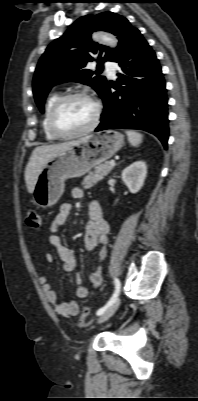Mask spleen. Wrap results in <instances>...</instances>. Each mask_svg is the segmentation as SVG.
<instances>
[{
    "instance_id": "1",
    "label": "spleen",
    "mask_w": 198,
    "mask_h": 401,
    "mask_svg": "<svg viewBox=\"0 0 198 401\" xmlns=\"http://www.w3.org/2000/svg\"><path fill=\"white\" fill-rule=\"evenodd\" d=\"M125 133L128 137L129 143L133 147H138L141 144L143 140V135L141 133L132 130L125 131Z\"/></svg>"
}]
</instances>
